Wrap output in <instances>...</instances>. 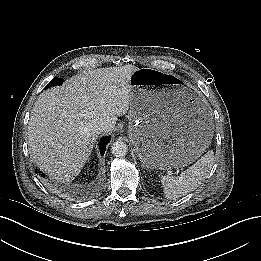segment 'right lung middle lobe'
<instances>
[{
	"mask_svg": "<svg viewBox=\"0 0 261 261\" xmlns=\"http://www.w3.org/2000/svg\"><path fill=\"white\" fill-rule=\"evenodd\" d=\"M62 82H63V79L54 78V79L50 82V84L46 86V88L49 87V86H51V85H60V84H62Z\"/></svg>",
	"mask_w": 261,
	"mask_h": 261,
	"instance_id": "right-lung-middle-lobe-1",
	"label": "right lung middle lobe"
}]
</instances>
